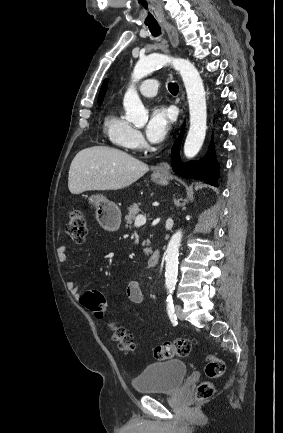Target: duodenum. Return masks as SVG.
Wrapping results in <instances>:
<instances>
[{"instance_id":"obj_1","label":"duodenum","mask_w":283,"mask_h":433,"mask_svg":"<svg viewBox=\"0 0 283 433\" xmlns=\"http://www.w3.org/2000/svg\"><path fill=\"white\" fill-rule=\"evenodd\" d=\"M161 259V253L159 250H155L151 253L150 257L148 258V265L150 267H156Z\"/></svg>"}]
</instances>
